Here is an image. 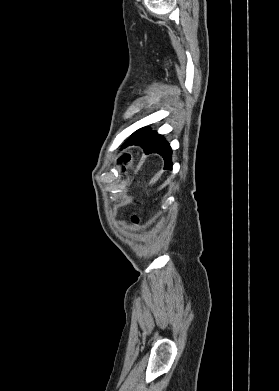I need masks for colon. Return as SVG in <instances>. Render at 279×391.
I'll use <instances>...</instances> for the list:
<instances>
[{"instance_id": "1", "label": "colon", "mask_w": 279, "mask_h": 391, "mask_svg": "<svg viewBox=\"0 0 279 391\" xmlns=\"http://www.w3.org/2000/svg\"><path fill=\"white\" fill-rule=\"evenodd\" d=\"M127 157H128V160H129L130 156H129V155H126V156L122 157L121 161H122V162H126V161H127ZM131 221H132L134 224H136V225H141V223H142V218H141L139 215H133V216L131 217Z\"/></svg>"}]
</instances>
